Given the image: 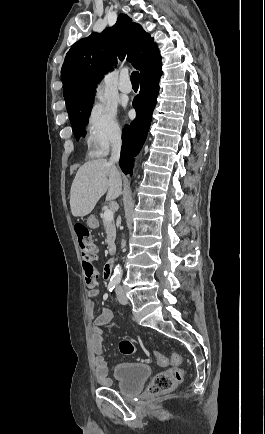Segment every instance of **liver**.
<instances>
[{
  "instance_id": "1",
  "label": "liver",
  "mask_w": 265,
  "mask_h": 434,
  "mask_svg": "<svg viewBox=\"0 0 265 434\" xmlns=\"http://www.w3.org/2000/svg\"><path fill=\"white\" fill-rule=\"evenodd\" d=\"M122 190L121 176L112 162L91 160L79 168L71 186L72 216L82 218L94 210L98 200L108 192L106 202L116 200Z\"/></svg>"
}]
</instances>
